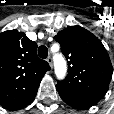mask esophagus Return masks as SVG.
<instances>
[{"mask_svg": "<svg viewBox=\"0 0 114 114\" xmlns=\"http://www.w3.org/2000/svg\"><path fill=\"white\" fill-rule=\"evenodd\" d=\"M47 62H48V64H49V66L52 68V67H53V60H52V57H51V56H49V57L47 58Z\"/></svg>", "mask_w": 114, "mask_h": 114, "instance_id": "1", "label": "esophagus"}]
</instances>
